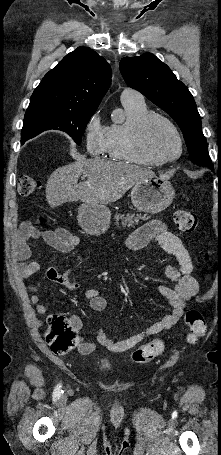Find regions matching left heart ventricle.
<instances>
[{
  "label": "left heart ventricle",
  "mask_w": 221,
  "mask_h": 455,
  "mask_svg": "<svg viewBox=\"0 0 221 455\" xmlns=\"http://www.w3.org/2000/svg\"><path fill=\"white\" fill-rule=\"evenodd\" d=\"M147 144L152 152L161 158L174 157L179 150L175 134L166 123L159 120L149 127Z\"/></svg>",
  "instance_id": "b2bd125f"
}]
</instances>
